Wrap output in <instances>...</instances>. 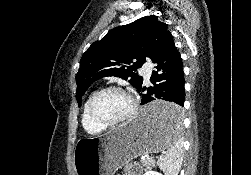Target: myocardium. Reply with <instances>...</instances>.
I'll return each mask as SVG.
<instances>
[{
	"label": "myocardium",
	"mask_w": 251,
	"mask_h": 175,
	"mask_svg": "<svg viewBox=\"0 0 251 175\" xmlns=\"http://www.w3.org/2000/svg\"><path fill=\"white\" fill-rule=\"evenodd\" d=\"M112 90L121 91L128 97L129 102H130V110L123 118H121L117 121H114V122H109L97 114L96 103H97L98 99L104 93H106L108 91H112ZM137 111H138V105H137V102L135 101V99L132 97V95L125 88H123L119 85H109V86H106V87L98 90L93 95L92 99L90 100L89 106H88V113H89L90 119L94 123L101 125L104 128H113V127H117V126H120V125H123V124L129 122L130 120H132L136 116Z\"/></svg>",
	"instance_id": "myocardium-1"
}]
</instances>
